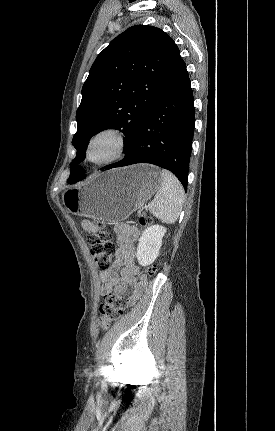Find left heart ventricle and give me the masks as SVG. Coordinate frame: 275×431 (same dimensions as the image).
Here are the masks:
<instances>
[{
	"mask_svg": "<svg viewBox=\"0 0 275 431\" xmlns=\"http://www.w3.org/2000/svg\"><path fill=\"white\" fill-rule=\"evenodd\" d=\"M113 149V141L110 138L98 140L91 150V157L95 160L102 159L110 154Z\"/></svg>",
	"mask_w": 275,
	"mask_h": 431,
	"instance_id": "1",
	"label": "left heart ventricle"
}]
</instances>
